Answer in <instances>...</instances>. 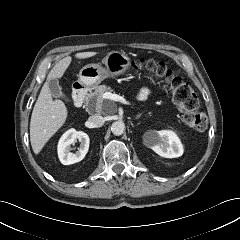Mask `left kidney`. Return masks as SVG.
<instances>
[{"label": "left kidney", "mask_w": 240, "mask_h": 240, "mask_svg": "<svg viewBox=\"0 0 240 240\" xmlns=\"http://www.w3.org/2000/svg\"><path fill=\"white\" fill-rule=\"evenodd\" d=\"M145 143L158 155L176 158L183 154V146L177 135L170 130H150L145 135Z\"/></svg>", "instance_id": "obj_1"}]
</instances>
